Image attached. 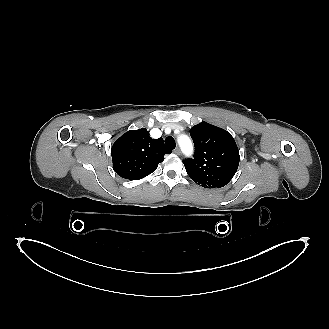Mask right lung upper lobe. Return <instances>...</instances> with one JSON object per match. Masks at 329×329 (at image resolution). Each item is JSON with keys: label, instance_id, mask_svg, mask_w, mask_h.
Segmentation results:
<instances>
[{"label": "right lung upper lobe", "instance_id": "obj_1", "mask_svg": "<svg viewBox=\"0 0 329 329\" xmlns=\"http://www.w3.org/2000/svg\"><path fill=\"white\" fill-rule=\"evenodd\" d=\"M171 153L162 138L152 139L145 129L130 130L112 146L111 156L116 173L125 179L138 180L154 172Z\"/></svg>", "mask_w": 329, "mask_h": 329}]
</instances>
